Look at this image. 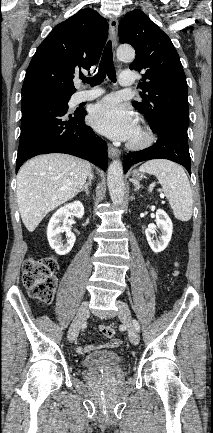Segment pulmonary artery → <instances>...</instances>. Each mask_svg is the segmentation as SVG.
Instances as JSON below:
<instances>
[{
	"label": "pulmonary artery",
	"mask_w": 213,
	"mask_h": 433,
	"mask_svg": "<svg viewBox=\"0 0 213 433\" xmlns=\"http://www.w3.org/2000/svg\"><path fill=\"white\" fill-rule=\"evenodd\" d=\"M119 83L121 86H131L134 83V75L131 71H123L120 74ZM104 91L98 87H94L90 90L79 91L75 95V100L77 102H83L87 100H92L102 95Z\"/></svg>",
	"instance_id": "1"
}]
</instances>
